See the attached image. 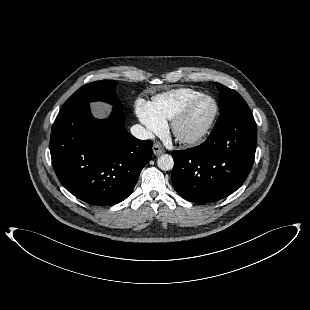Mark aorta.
Returning <instances> with one entry per match:
<instances>
[{"instance_id":"obj_1","label":"aorta","mask_w":310,"mask_h":310,"mask_svg":"<svg viewBox=\"0 0 310 310\" xmlns=\"http://www.w3.org/2000/svg\"><path fill=\"white\" fill-rule=\"evenodd\" d=\"M158 167L163 171H169L174 166V160L169 154H162L157 159Z\"/></svg>"}]
</instances>
